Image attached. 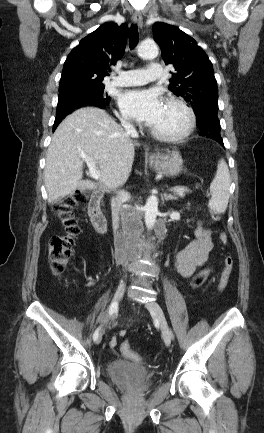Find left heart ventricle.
<instances>
[{
	"mask_svg": "<svg viewBox=\"0 0 264 433\" xmlns=\"http://www.w3.org/2000/svg\"><path fill=\"white\" fill-rule=\"evenodd\" d=\"M186 114L177 106L164 104L163 111L151 128L165 134L180 132L186 125Z\"/></svg>",
	"mask_w": 264,
	"mask_h": 433,
	"instance_id": "b2bd125f",
	"label": "left heart ventricle"
}]
</instances>
